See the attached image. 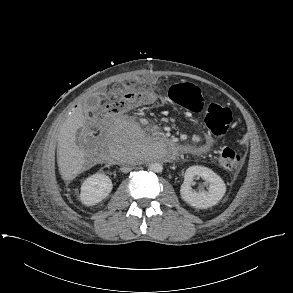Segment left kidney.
Segmentation results:
<instances>
[{"mask_svg":"<svg viewBox=\"0 0 293 293\" xmlns=\"http://www.w3.org/2000/svg\"><path fill=\"white\" fill-rule=\"evenodd\" d=\"M199 176L209 182L208 191H195L191 187L194 177ZM226 185L222 178L211 169L204 166H191L184 175L180 188L182 199L195 208H208L216 205L224 196Z\"/></svg>","mask_w":293,"mask_h":293,"instance_id":"5707ae66","label":"left kidney"}]
</instances>
